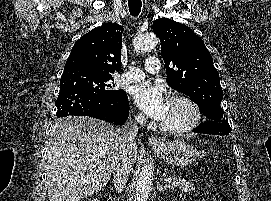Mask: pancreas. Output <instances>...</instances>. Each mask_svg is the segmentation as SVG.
<instances>
[{
	"instance_id": "cf45deb5",
	"label": "pancreas",
	"mask_w": 271,
	"mask_h": 201,
	"mask_svg": "<svg viewBox=\"0 0 271 201\" xmlns=\"http://www.w3.org/2000/svg\"><path fill=\"white\" fill-rule=\"evenodd\" d=\"M174 187H178L183 192H191L194 190L191 182L178 178H173L171 181V188Z\"/></svg>"
}]
</instances>
